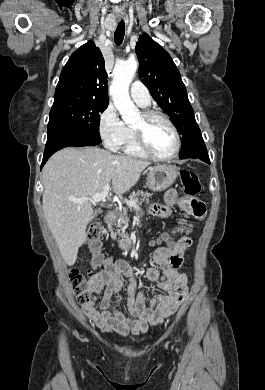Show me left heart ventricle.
I'll list each match as a JSON object with an SVG mask.
<instances>
[{
  "mask_svg": "<svg viewBox=\"0 0 265 390\" xmlns=\"http://www.w3.org/2000/svg\"><path fill=\"white\" fill-rule=\"evenodd\" d=\"M143 128L150 148L160 156L170 155L175 147V138L170 127L162 120L155 119L144 123L142 115L134 125Z\"/></svg>",
  "mask_w": 265,
  "mask_h": 390,
  "instance_id": "b2bd125f",
  "label": "left heart ventricle"
}]
</instances>
